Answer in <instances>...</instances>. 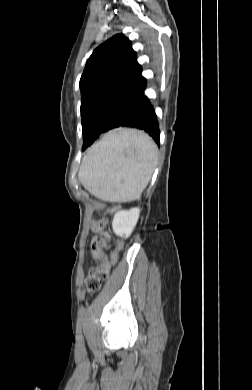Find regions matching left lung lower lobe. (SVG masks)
<instances>
[{"mask_svg":"<svg viewBox=\"0 0 252 390\" xmlns=\"http://www.w3.org/2000/svg\"><path fill=\"white\" fill-rule=\"evenodd\" d=\"M145 88L146 85L132 96L128 102L122 105L115 116L106 115L89 122L83 130L82 150L90 146L102 133L118 127L144 130L159 145V124L155 110L148 97L144 94Z\"/></svg>","mask_w":252,"mask_h":390,"instance_id":"left-lung-lower-lobe-1","label":"left lung lower lobe"}]
</instances>
